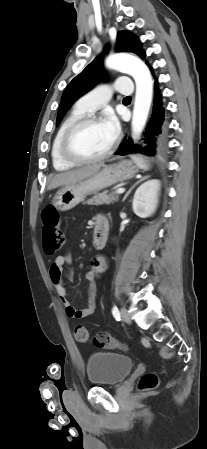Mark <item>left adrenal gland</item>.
I'll use <instances>...</instances> for the list:
<instances>
[{
  "instance_id": "left-adrenal-gland-1",
  "label": "left adrenal gland",
  "mask_w": 207,
  "mask_h": 449,
  "mask_svg": "<svg viewBox=\"0 0 207 449\" xmlns=\"http://www.w3.org/2000/svg\"><path fill=\"white\" fill-rule=\"evenodd\" d=\"M149 176L147 175V176H143L142 178H140L128 191H127V193L125 194V196H124V198H123V202L126 200V198L128 197V195L131 193V191L133 190V188L137 185V184H139L140 182H142V181H144L145 179H147Z\"/></svg>"
}]
</instances>
